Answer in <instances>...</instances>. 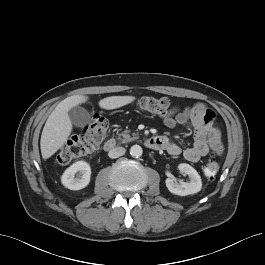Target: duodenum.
I'll list each match as a JSON object with an SVG mask.
<instances>
[{"label": "duodenum", "mask_w": 265, "mask_h": 265, "mask_svg": "<svg viewBox=\"0 0 265 265\" xmlns=\"http://www.w3.org/2000/svg\"><path fill=\"white\" fill-rule=\"evenodd\" d=\"M146 145L151 149H163L164 140L160 136L151 137L146 141ZM116 146V141L114 139H109L104 144V150L109 152L113 150Z\"/></svg>", "instance_id": "1"}]
</instances>
